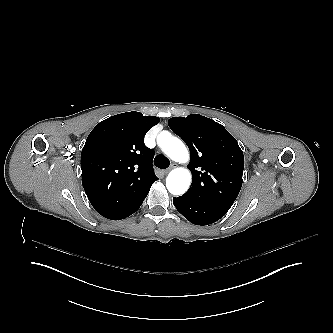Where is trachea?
Masks as SVG:
<instances>
[{
    "instance_id": "1",
    "label": "trachea",
    "mask_w": 333,
    "mask_h": 333,
    "mask_svg": "<svg viewBox=\"0 0 333 333\" xmlns=\"http://www.w3.org/2000/svg\"><path fill=\"white\" fill-rule=\"evenodd\" d=\"M154 164L158 168L165 169L170 165V161L162 154H159L154 159Z\"/></svg>"
}]
</instances>
